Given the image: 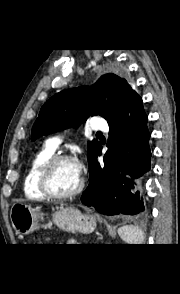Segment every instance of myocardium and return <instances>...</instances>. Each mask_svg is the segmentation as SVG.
I'll list each match as a JSON object with an SVG mask.
<instances>
[{
    "label": "myocardium",
    "mask_w": 180,
    "mask_h": 294,
    "mask_svg": "<svg viewBox=\"0 0 180 294\" xmlns=\"http://www.w3.org/2000/svg\"><path fill=\"white\" fill-rule=\"evenodd\" d=\"M62 162H74V159L69 155L56 154L52 156L39 171L38 186L46 198L52 200H67L78 196L84 189L85 180L82 176H80V183L78 187L69 193L59 194L51 189L49 185L51 174L55 167Z\"/></svg>",
    "instance_id": "f54148a6"
}]
</instances>
